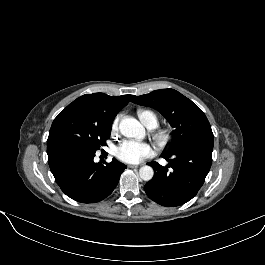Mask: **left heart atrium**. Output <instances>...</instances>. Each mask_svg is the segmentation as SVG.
<instances>
[{"label": "left heart atrium", "instance_id": "39dd6f15", "mask_svg": "<svg viewBox=\"0 0 265 265\" xmlns=\"http://www.w3.org/2000/svg\"><path fill=\"white\" fill-rule=\"evenodd\" d=\"M154 153L153 147L145 142L136 140L123 141L115 151L116 156L127 163H138Z\"/></svg>", "mask_w": 265, "mask_h": 265}]
</instances>
